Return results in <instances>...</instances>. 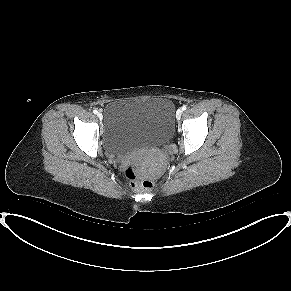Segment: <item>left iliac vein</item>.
<instances>
[{
  "mask_svg": "<svg viewBox=\"0 0 291 291\" xmlns=\"http://www.w3.org/2000/svg\"><path fill=\"white\" fill-rule=\"evenodd\" d=\"M183 111L181 109H178L176 112V118L179 120L182 116Z\"/></svg>",
  "mask_w": 291,
  "mask_h": 291,
  "instance_id": "4c4485c4",
  "label": "left iliac vein"
}]
</instances>
